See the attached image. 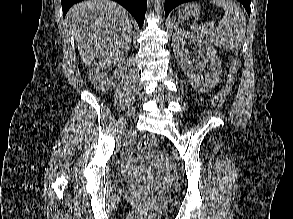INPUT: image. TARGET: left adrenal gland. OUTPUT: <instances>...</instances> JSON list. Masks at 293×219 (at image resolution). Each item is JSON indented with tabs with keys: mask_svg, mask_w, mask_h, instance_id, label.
<instances>
[{
	"mask_svg": "<svg viewBox=\"0 0 293 219\" xmlns=\"http://www.w3.org/2000/svg\"><path fill=\"white\" fill-rule=\"evenodd\" d=\"M179 23H180V20H178V22H177V24H176V25L178 26V25H179Z\"/></svg>",
	"mask_w": 293,
	"mask_h": 219,
	"instance_id": "1",
	"label": "left adrenal gland"
}]
</instances>
